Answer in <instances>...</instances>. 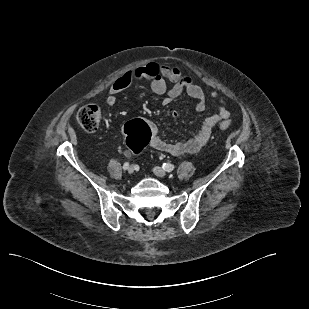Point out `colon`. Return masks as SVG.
<instances>
[{
	"mask_svg": "<svg viewBox=\"0 0 309 309\" xmlns=\"http://www.w3.org/2000/svg\"><path fill=\"white\" fill-rule=\"evenodd\" d=\"M77 120L81 127L88 131L94 132L100 126L102 120V110L99 106L90 104L85 105L77 113ZM231 123L224 120L220 123L221 130H227ZM123 132L129 150L133 154L140 153L150 142L151 131L147 123L141 119H134L124 125Z\"/></svg>",
	"mask_w": 309,
	"mask_h": 309,
	"instance_id": "obj_1",
	"label": "colon"
}]
</instances>
